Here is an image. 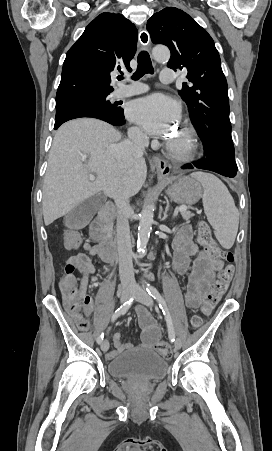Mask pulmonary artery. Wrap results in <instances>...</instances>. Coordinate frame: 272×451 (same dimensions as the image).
Returning <instances> with one entry per match:
<instances>
[{
    "label": "pulmonary artery",
    "instance_id": "pulmonary-artery-1",
    "mask_svg": "<svg viewBox=\"0 0 272 451\" xmlns=\"http://www.w3.org/2000/svg\"><path fill=\"white\" fill-rule=\"evenodd\" d=\"M160 80L164 83L172 84L174 82V72L171 70V67L169 65H164L162 67V70L159 72ZM143 83L141 81L135 80L133 82V85H126L125 90L123 89H117L113 92L112 96L115 99L120 98H126L133 95L140 94L142 92H145L147 90V87L145 85H142ZM138 90V91H137Z\"/></svg>",
    "mask_w": 272,
    "mask_h": 451
}]
</instances>
